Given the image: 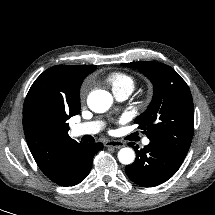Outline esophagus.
<instances>
[{"mask_svg":"<svg viewBox=\"0 0 215 215\" xmlns=\"http://www.w3.org/2000/svg\"><path fill=\"white\" fill-rule=\"evenodd\" d=\"M105 146L119 149V148L124 147L125 144H124V142L118 141V140H108L105 142Z\"/></svg>","mask_w":215,"mask_h":215,"instance_id":"34e87169","label":"esophagus"}]
</instances>
